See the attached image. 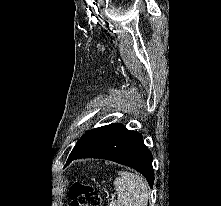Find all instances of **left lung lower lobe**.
Here are the masks:
<instances>
[{"mask_svg": "<svg viewBox=\"0 0 221 206\" xmlns=\"http://www.w3.org/2000/svg\"><path fill=\"white\" fill-rule=\"evenodd\" d=\"M80 158H100L129 166L142 173L153 187L152 154L144 145L142 135L122 124L108 125L87 147L70 157L66 165Z\"/></svg>", "mask_w": 221, "mask_h": 206, "instance_id": "left-lung-lower-lobe-1", "label": "left lung lower lobe"}]
</instances>
